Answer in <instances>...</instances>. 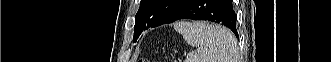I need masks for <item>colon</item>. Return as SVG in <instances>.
<instances>
[{"mask_svg":"<svg viewBox=\"0 0 331 62\" xmlns=\"http://www.w3.org/2000/svg\"><path fill=\"white\" fill-rule=\"evenodd\" d=\"M138 62H149V61L146 59H139Z\"/></svg>","mask_w":331,"mask_h":62,"instance_id":"5ec220e1","label":"colon"}]
</instances>
